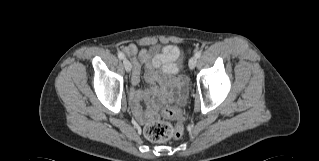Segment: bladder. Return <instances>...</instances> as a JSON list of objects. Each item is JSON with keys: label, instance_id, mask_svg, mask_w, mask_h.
I'll return each mask as SVG.
<instances>
[{"label": "bladder", "instance_id": "obj_1", "mask_svg": "<svg viewBox=\"0 0 319 161\" xmlns=\"http://www.w3.org/2000/svg\"><path fill=\"white\" fill-rule=\"evenodd\" d=\"M157 50L158 49L156 47H151L148 50L147 54L148 53H155V52H157ZM183 67H184V59H183L182 55H179L176 57V59L173 62V74L175 76L179 75V73L182 71Z\"/></svg>", "mask_w": 319, "mask_h": 161}]
</instances>
